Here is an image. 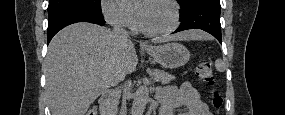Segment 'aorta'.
Returning a JSON list of instances; mask_svg holds the SVG:
<instances>
[{
	"instance_id": "aorta-1",
	"label": "aorta",
	"mask_w": 285,
	"mask_h": 115,
	"mask_svg": "<svg viewBox=\"0 0 285 115\" xmlns=\"http://www.w3.org/2000/svg\"><path fill=\"white\" fill-rule=\"evenodd\" d=\"M123 2V0H118ZM149 100V91L146 86H140L134 96L132 115H142Z\"/></svg>"
}]
</instances>
